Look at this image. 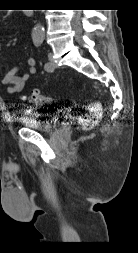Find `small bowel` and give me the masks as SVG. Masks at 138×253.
Returning a JSON list of instances; mask_svg holds the SVG:
<instances>
[{
  "label": "small bowel",
  "mask_w": 138,
  "mask_h": 253,
  "mask_svg": "<svg viewBox=\"0 0 138 253\" xmlns=\"http://www.w3.org/2000/svg\"><path fill=\"white\" fill-rule=\"evenodd\" d=\"M27 66L28 71L22 75H18L20 66L15 65L3 76L1 83L6 86V91L8 94L16 97L23 92L30 76L36 72V60L33 57L28 58Z\"/></svg>",
  "instance_id": "1"
}]
</instances>
